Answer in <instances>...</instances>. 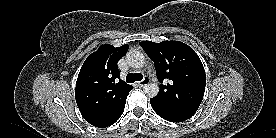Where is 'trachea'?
I'll list each match as a JSON object with an SVG mask.
<instances>
[{
    "label": "trachea",
    "instance_id": "obj_1",
    "mask_svg": "<svg viewBox=\"0 0 276 138\" xmlns=\"http://www.w3.org/2000/svg\"><path fill=\"white\" fill-rule=\"evenodd\" d=\"M142 79H143V75L141 73H129L126 77L127 83L141 81Z\"/></svg>",
    "mask_w": 276,
    "mask_h": 138
}]
</instances>
